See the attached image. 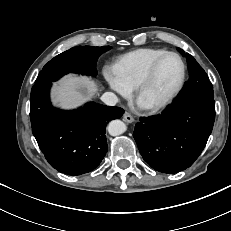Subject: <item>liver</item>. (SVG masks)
I'll return each instance as SVG.
<instances>
[{"label": "liver", "mask_w": 231, "mask_h": 231, "mask_svg": "<svg viewBox=\"0 0 231 231\" xmlns=\"http://www.w3.org/2000/svg\"><path fill=\"white\" fill-rule=\"evenodd\" d=\"M98 84L88 77L65 76L52 89L53 103L62 109H72L92 98Z\"/></svg>", "instance_id": "liver-1"}]
</instances>
